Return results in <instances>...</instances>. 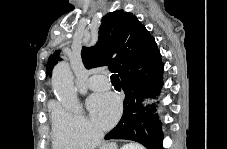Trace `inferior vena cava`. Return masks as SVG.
<instances>
[{
	"instance_id": "602c4592",
	"label": "inferior vena cava",
	"mask_w": 227,
	"mask_h": 149,
	"mask_svg": "<svg viewBox=\"0 0 227 149\" xmlns=\"http://www.w3.org/2000/svg\"><path fill=\"white\" fill-rule=\"evenodd\" d=\"M92 136L96 139V143H99L103 139V133L101 132H94Z\"/></svg>"
}]
</instances>
